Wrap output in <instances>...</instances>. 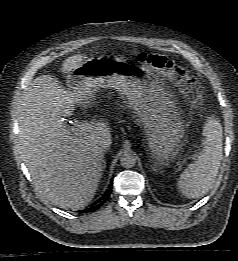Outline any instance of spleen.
Wrapping results in <instances>:
<instances>
[{
    "label": "spleen",
    "mask_w": 238,
    "mask_h": 261,
    "mask_svg": "<svg viewBox=\"0 0 238 261\" xmlns=\"http://www.w3.org/2000/svg\"><path fill=\"white\" fill-rule=\"evenodd\" d=\"M203 149L197 161L188 165L180 175L177 186L183 196L194 199L212 188L222 160L223 131L220 121L211 116L203 127Z\"/></svg>",
    "instance_id": "spleen-1"
}]
</instances>
